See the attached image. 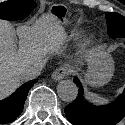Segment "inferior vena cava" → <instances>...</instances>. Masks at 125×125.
Here are the masks:
<instances>
[{
	"label": "inferior vena cava",
	"instance_id": "obj_1",
	"mask_svg": "<svg viewBox=\"0 0 125 125\" xmlns=\"http://www.w3.org/2000/svg\"><path fill=\"white\" fill-rule=\"evenodd\" d=\"M45 62L43 61H39L37 63H35L34 65L30 66L29 68H27L26 70H24L22 72V78L24 80H31V79H35L36 77H38L41 73L42 68L44 67Z\"/></svg>",
	"mask_w": 125,
	"mask_h": 125
}]
</instances>
